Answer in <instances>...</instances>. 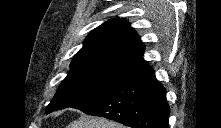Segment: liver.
I'll use <instances>...</instances> for the list:
<instances>
[{"label":"liver","mask_w":221,"mask_h":128,"mask_svg":"<svg viewBox=\"0 0 221 128\" xmlns=\"http://www.w3.org/2000/svg\"><path fill=\"white\" fill-rule=\"evenodd\" d=\"M66 128H125L123 125L99 117H89L71 122Z\"/></svg>","instance_id":"6515ba94"}]
</instances>
